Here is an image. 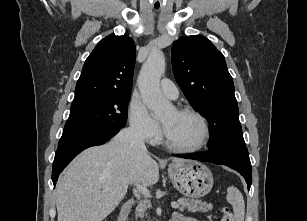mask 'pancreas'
<instances>
[{
  "label": "pancreas",
  "mask_w": 307,
  "mask_h": 221,
  "mask_svg": "<svg viewBox=\"0 0 307 221\" xmlns=\"http://www.w3.org/2000/svg\"><path fill=\"white\" fill-rule=\"evenodd\" d=\"M179 204L181 205L180 207L181 211L188 210L189 212H197V211L209 212L213 208V205L208 204L207 202H202L200 200H189L186 198H180ZM147 207H149L147 201L140 202V204L137 207V216L143 218Z\"/></svg>",
  "instance_id": "obj_1"
}]
</instances>
